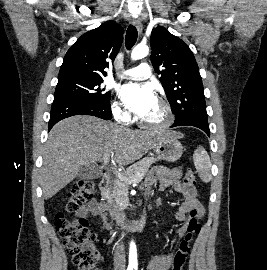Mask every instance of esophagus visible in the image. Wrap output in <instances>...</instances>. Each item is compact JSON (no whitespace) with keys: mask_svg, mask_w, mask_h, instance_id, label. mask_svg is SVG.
I'll return each mask as SVG.
<instances>
[{"mask_svg":"<svg viewBox=\"0 0 267 270\" xmlns=\"http://www.w3.org/2000/svg\"><path fill=\"white\" fill-rule=\"evenodd\" d=\"M133 24L138 30V33L141 34L143 30L142 22L139 18L133 20Z\"/></svg>","mask_w":267,"mask_h":270,"instance_id":"34e87169","label":"esophagus"}]
</instances>
